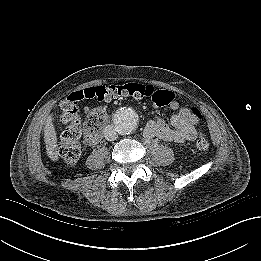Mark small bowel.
<instances>
[{
    "instance_id": "1",
    "label": "small bowel",
    "mask_w": 261,
    "mask_h": 261,
    "mask_svg": "<svg viewBox=\"0 0 261 261\" xmlns=\"http://www.w3.org/2000/svg\"><path fill=\"white\" fill-rule=\"evenodd\" d=\"M168 106L176 112L170 118L169 124L159 118L152 119L146 124L145 135L148 138H159L176 143L194 141L198 134L196 126L200 120L196 119L192 109L181 106L176 99H173ZM89 110V107H84L85 113Z\"/></svg>"
}]
</instances>
